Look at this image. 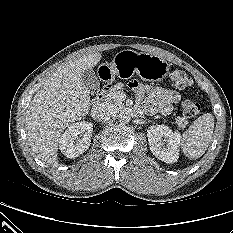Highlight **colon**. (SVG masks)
Segmentation results:
<instances>
[{
	"mask_svg": "<svg viewBox=\"0 0 233 233\" xmlns=\"http://www.w3.org/2000/svg\"><path fill=\"white\" fill-rule=\"evenodd\" d=\"M171 85L180 90H185L191 87L192 78L182 70H174L170 75ZM182 114L186 118L196 117L200 112V105L198 102L186 99L181 104Z\"/></svg>",
	"mask_w": 233,
	"mask_h": 233,
	"instance_id": "colon-1",
	"label": "colon"
}]
</instances>
